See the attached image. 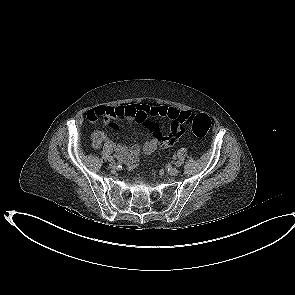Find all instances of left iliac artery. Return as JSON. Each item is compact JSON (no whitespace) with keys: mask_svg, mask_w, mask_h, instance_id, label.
<instances>
[{"mask_svg":"<svg viewBox=\"0 0 295 295\" xmlns=\"http://www.w3.org/2000/svg\"><path fill=\"white\" fill-rule=\"evenodd\" d=\"M175 164L177 167H179L181 165L180 162H178V161Z\"/></svg>","mask_w":295,"mask_h":295,"instance_id":"obj_1","label":"left iliac artery"}]
</instances>
